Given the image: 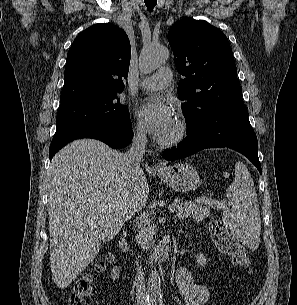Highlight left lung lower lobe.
Listing matches in <instances>:
<instances>
[{
  "label": "left lung lower lobe",
  "mask_w": 297,
  "mask_h": 305,
  "mask_svg": "<svg viewBox=\"0 0 297 305\" xmlns=\"http://www.w3.org/2000/svg\"><path fill=\"white\" fill-rule=\"evenodd\" d=\"M231 148L246 156L261 174L257 137L242 99L212 109L189 124L187 137L177 147L166 150V160L185 158L206 148Z\"/></svg>",
  "instance_id": "1"
}]
</instances>
